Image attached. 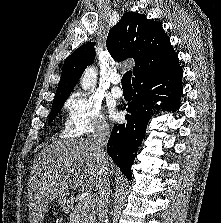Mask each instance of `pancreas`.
<instances>
[{
  "instance_id": "1",
  "label": "pancreas",
  "mask_w": 221,
  "mask_h": 223,
  "mask_svg": "<svg viewBox=\"0 0 221 223\" xmlns=\"http://www.w3.org/2000/svg\"><path fill=\"white\" fill-rule=\"evenodd\" d=\"M70 223H96L95 205L79 202L70 212Z\"/></svg>"
}]
</instances>
